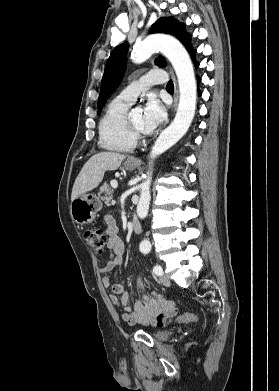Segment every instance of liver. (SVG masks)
<instances>
[{
  "instance_id": "6515ba94",
  "label": "liver",
  "mask_w": 279,
  "mask_h": 391,
  "mask_svg": "<svg viewBox=\"0 0 279 391\" xmlns=\"http://www.w3.org/2000/svg\"><path fill=\"white\" fill-rule=\"evenodd\" d=\"M125 155L115 152H100L93 155L78 174L72 189L71 201L98 187L106 171L117 170Z\"/></svg>"
}]
</instances>
